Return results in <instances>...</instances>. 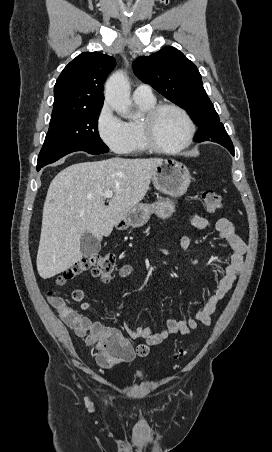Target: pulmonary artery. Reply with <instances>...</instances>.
<instances>
[{
    "instance_id": "pulmonary-artery-1",
    "label": "pulmonary artery",
    "mask_w": 272,
    "mask_h": 452,
    "mask_svg": "<svg viewBox=\"0 0 272 452\" xmlns=\"http://www.w3.org/2000/svg\"><path fill=\"white\" fill-rule=\"evenodd\" d=\"M133 97H134V99H137V100H154L155 99L151 86H149L147 84L138 85L134 90Z\"/></svg>"
}]
</instances>
